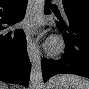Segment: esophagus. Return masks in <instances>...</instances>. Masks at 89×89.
I'll return each instance as SVG.
<instances>
[{"label": "esophagus", "instance_id": "esophagus-1", "mask_svg": "<svg viewBox=\"0 0 89 89\" xmlns=\"http://www.w3.org/2000/svg\"><path fill=\"white\" fill-rule=\"evenodd\" d=\"M32 5H33V2L31 0H29L28 7H27V14H26L27 17H30L32 14V10H33ZM27 51H28L30 61L32 63H34L38 57L36 55V49H35V45H34L33 35L30 32L27 33Z\"/></svg>", "mask_w": 89, "mask_h": 89}]
</instances>
